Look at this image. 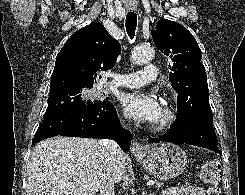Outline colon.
Here are the masks:
<instances>
[{
	"label": "colon",
	"instance_id": "1",
	"mask_svg": "<svg viewBox=\"0 0 245 195\" xmlns=\"http://www.w3.org/2000/svg\"><path fill=\"white\" fill-rule=\"evenodd\" d=\"M202 179L208 184L207 195H220L219 167L214 162H211V165L203 171Z\"/></svg>",
	"mask_w": 245,
	"mask_h": 195
}]
</instances>
